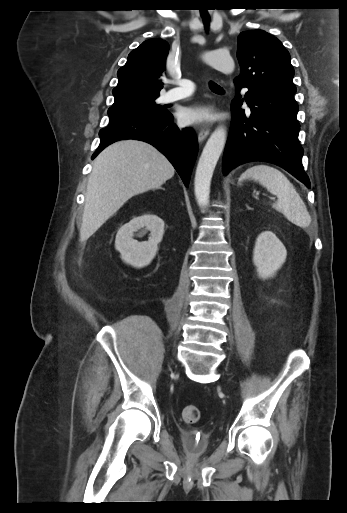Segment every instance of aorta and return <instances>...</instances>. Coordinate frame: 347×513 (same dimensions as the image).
<instances>
[{
	"instance_id": "obj_1",
	"label": "aorta",
	"mask_w": 347,
	"mask_h": 513,
	"mask_svg": "<svg viewBox=\"0 0 347 513\" xmlns=\"http://www.w3.org/2000/svg\"><path fill=\"white\" fill-rule=\"evenodd\" d=\"M204 61L214 69L229 74L235 63L229 52L214 50L206 53ZM226 129L217 127L206 142L199 158L194 179V192L198 205L206 208L209 202L210 185L214 169L226 143Z\"/></svg>"
}]
</instances>
